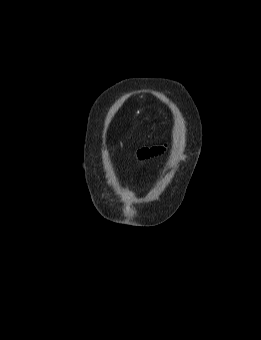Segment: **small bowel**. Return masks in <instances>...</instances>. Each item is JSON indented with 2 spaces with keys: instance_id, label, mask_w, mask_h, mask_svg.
Here are the masks:
<instances>
[{
  "instance_id": "1",
  "label": "small bowel",
  "mask_w": 261,
  "mask_h": 340,
  "mask_svg": "<svg viewBox=\"0 0 261 340\" xmlns=\"http://www.w3.org/2000/svg\"><path fill=\"white\" fill-rule=\"evenodd\" d=\"M164 151L165 148L160 146L144 147L138 149L135 156L138 161H146L162 155Z\"/></svg>"
}]
</instances>
